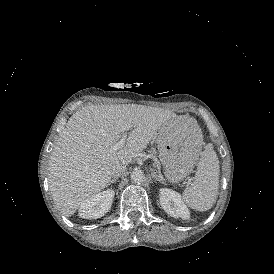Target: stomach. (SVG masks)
<instances>
[{"label": "stomach", "mask_w": 274, "mask_h": 274, "mask_svg": "<svg viewBox=\"0 0 274 274\" xmlns=\"http://www.w3.org/2000/svg\"><path fill=\"white\" fill-rule=\"evenodd\" d=\"M199 127L188 121L172 127L166 135L158 134L157 144L163 159L165 176L171 183L183 181L192 172L196 159L194 148L199 152L201 144L196 141Z\"/></svg>", "instance_id": "stomach-1"}]
</instances>
